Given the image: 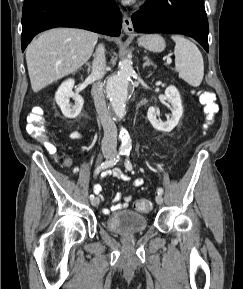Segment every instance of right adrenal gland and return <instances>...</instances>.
Here are the masks:
<instances>
[{
	"mask_svg": "<svg viewBox=\"0 0 243 289\" xmlns=\"http://www.w3.org/2000/svg\"><path fill=\"white\" fill-rule=\"evenodd\" d=\"M86 65L88 66L87 68V72L89 73L91 71V63L87 62Z\"/></svg>",
	"mask_w": 243,
	"mask_h": 289,
	"instance_id": "right-adrenal-gland-1",
	"label": "right adrenal gland"
}]
</instances>
